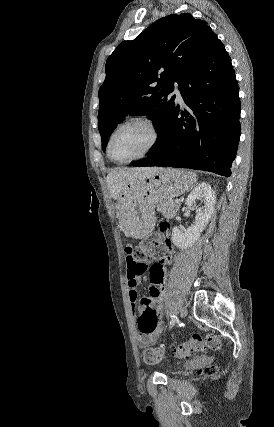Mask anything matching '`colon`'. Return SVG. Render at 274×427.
I'll return each mask as SVG.
<instances>
[{
	"instance_id": "1",
	"label": "colon",
	"mask_w": 274,
	"mask_h": 427,
	"mask_svg": "<svg viewBox=\"0 0 274 427\" xmlns=\"http://www.w3.org/2000/svg\"><path fill=\"white\" fill-rule=\"evenodd\" d=\"M135 256V266H140L141 262L153 260L157 253H166L161 246V238L158 233H152L144 238L133 250ZM205 347L210 349H220V342L214 334H207L202 337L199 333H194L189 340L172 346V356L180 359H188L194 353L201 351ZM165 351L160 347H145L141 350L140 357L143 364H157L158 359L165 358ZM220 373L218 366H208L205 374L208 377H217Z\"/></svg>"
}]
</instances>
